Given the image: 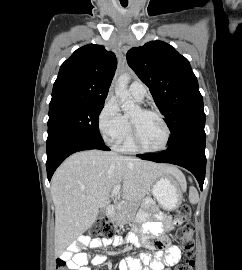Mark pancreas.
<instances>
[{"label":"pancreas","instance_id":"1","mask_svg":"<svg viewBox=\"0 0 242 270\" xmlns=\"http://www.w3.org/2000/svg\"><path fill=\"white\" fill-rule=\"evenodd\" d=\"M138 204L124 203L116 208V212L111 216L110 220L117 225L130 223L136 214Z\"/></svg>","mask_w":242,"mask_h":270}]
</instances>
